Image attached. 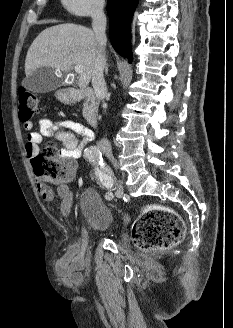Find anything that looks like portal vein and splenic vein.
I'll list each match as a JSON object with an SVG mask.
<instances>
[{
  "label": "portal vein and splenic vein",
  "instance_id": "1",
  "mask_svg": "<svg viewBox=\"0 0 233 328\" xmlns=\"http://www.w3.org/2000/svg\"><path fill=\"white\" fill-rule=\"evenodd\" d=\"M74 70L76 73L80 74L83 71V68L80 65L74 66Z\"/></svg>",
  "mask_w": 233,
  "mask_h": 328
}]
</instances>
